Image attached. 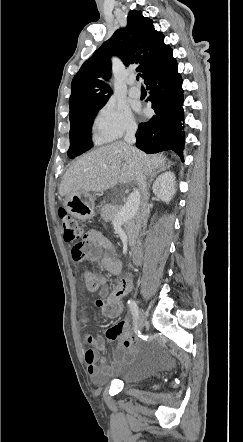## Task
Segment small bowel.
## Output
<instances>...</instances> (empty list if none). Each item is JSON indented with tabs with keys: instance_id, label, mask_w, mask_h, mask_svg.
I'll return each instance as SVG.
<instances>
[{
	"instance_id": "1",
	"label": "small bowel",
	"mask_w": 243,
	"mask_h": 442,
	"mask_svg": "<svg viewBox=\"0 0 243 442\" xmlns=\"http://www.w3.org/2000/svg\"><path fill=\"white\" fill-rule=\"evenodd\" d=\"M86 248L82 259H88L101 265L106 271L113 275L122 273L123 264L115 254L112 242L99 230L91 229L85 234ZM80 259V260H82ZM78 262L80 260H75ZM106 279L101 278L103 285L98 291V299L94 304L101 310L102 316L106 319H117L120 317L123 306L122 299L131 288V279L122 278L117 287L108 289L105 287ZM90 318V308L83 305L79 310V323L81 326L82 339L88 348L84 351L83 358L87 371L93 380L103 382L111 377L115 368L132 352L135 344L134 337L129 332L130 321L122 319L110 326L105 334L93 336L86 328ZM117 345L110 363L106 362L103 356L105 342Z\"/></svg>"
}]
</instances>
